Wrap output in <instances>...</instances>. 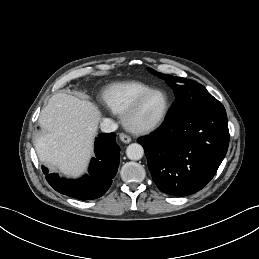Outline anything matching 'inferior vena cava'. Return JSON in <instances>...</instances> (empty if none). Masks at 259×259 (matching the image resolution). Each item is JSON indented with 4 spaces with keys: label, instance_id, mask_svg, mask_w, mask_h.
<instances>
[{
    "label": "inferior vena cava",
    "instance_id": "1",
    "mask_svg": "<svg viewBox=\"0 0 259 259\" xmlns=\"http://www.w3.org/2000/svg\"><path fill=\"white\" fill-rule=\"evenodd\" d=\"M118 128L117 123L109 118H103L100 122V129L102 132L110 133L116 131Z\"/></svg>",
    "mask_w": 259,
    "mask_h": 259
}]
</instances>
